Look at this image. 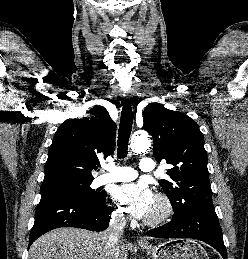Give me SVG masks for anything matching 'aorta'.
Wrapping results in <instances>:
<instances>
[{"instance_id": "aorta-1", "label": "aorta", "mask_w": 248, "mask_h": 259, "mask_svg": "<svg viewBox=\"0 0 248 259\" xmlns=\"http://www.w3.org/2000/svg\"><path fill=\"white\" fill-rule=\"evenodd\" d=\"M130 146L135 153H142L150 148L151 143L147 135L141 134L132 137Z\"/></svg>"}]
</instances>
